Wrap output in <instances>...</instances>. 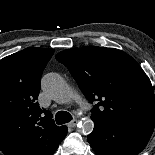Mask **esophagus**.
Masks as SVG:
<instances>
[{"instance_id": "34e87169", "label": "esophagus", "mask_w": 155, "mask_h": 155, "mask_svg": "<svg viewBox=\"0 0 155 155\" xmlns=\"http://www.w3.org/2000/svg\"><path fill=\"white\" fill-rule=\"evenodd\" d=\"M78 123V120L77 119H74L72 121H70L67 126L70 127V128H74Z\"/></svg>"}]
</instances>
